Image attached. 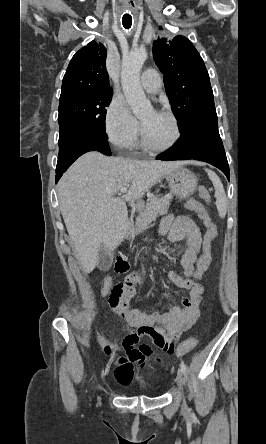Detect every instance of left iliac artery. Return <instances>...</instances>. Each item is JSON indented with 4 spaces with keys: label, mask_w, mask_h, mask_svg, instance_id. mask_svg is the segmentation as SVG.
Instances as JSON below:
<instances>
[{
    "label": "left iliac artery",
    "mask_w": 266,
    "mask_h": 444,
    "mask_svg": "<svg viewBox=\"0 0 266 444\" xmlns=\"http://www.w3.org/2000/svg\"><path fill=\"white\" fill-rule=\"evenodd\" d=\"M180 368H181V371L183 372V374H185L186 373V365L184 364L183 361L180 364Z\"/></svg>",
    "instance_id": "1"
}]
</instances>
